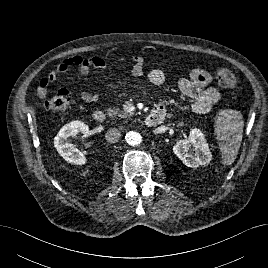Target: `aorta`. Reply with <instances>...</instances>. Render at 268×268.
<instances>
[{"label": "aorta", "instance_id": "obj_1", "mask_svg": "<svg viewBox=\"0 0 268 268\" xmlns=\"http://www.w3.org/2000/svg\"><path fill=\"white\" fill-rule=\"evenodd\" d=\"M125 140L129 145L135 146L142 142V136L134 131L126 133Z\"/></svg>", "mask_w": 268, "mask_h": 268}]
</instances>
